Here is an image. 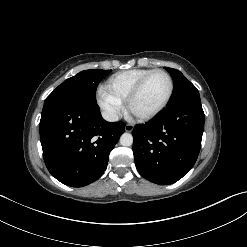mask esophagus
I'll use <instances>...</instances> for the list:
<instances>
[{"mask_svg":"<svg viewBox=\"0 0 247 247\" xmlns=\"http://www.w3.org/2000/svg\"><path fill=\"white\" fill-rule=\"evenodd\" d=\"M134 129V126L132 124H126L125 125V131L126 132H132Z\"/></svg>","mask_w":247,"mask_h":247,"instance_id":"1","label":"esophagus"}]
</instances>
